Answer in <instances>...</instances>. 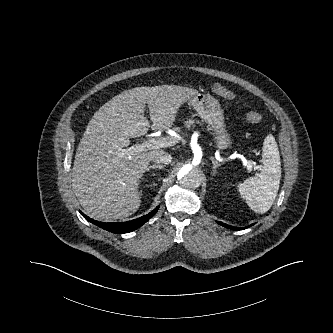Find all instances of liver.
Returning a JSON list of instances; mask_svg holds the SVG:
<instances>
[{
	"instance_id": "1",
	"label": "liver",
	"mask_w": 333,
	"mask_h": 333,
	"mask_svg": "<svg viewBox=\"0 0 333 333\" xmlns=\"http://www.w3.org/2000/svg\"><path fill=\"white\" fill-rule=\"evenodd\" d=\"M198 92L161 85L135 87L110 99L93 115L78 145L71 173L72 188L85 212L110 222L134 214L141 204L139 180L152 157L163 150L134 152L131 138L152 130H168L178 109Z\"/></svg>"
}]
</instances>
